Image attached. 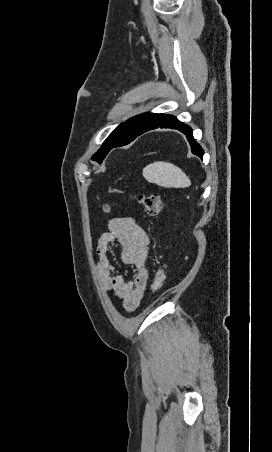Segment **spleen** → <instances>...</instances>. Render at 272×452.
I'll return each instance as SVG.
<instances>
[{
  "mask_svg": "<svg viewBox=\"0 0 272 452\" xmlns=\"http://www.w3.org/2000/svg\"><path fill=\"white\" fill-rule=\"evenodd\" d=\"M144 178L166 188H185L191 185L188 176L177 166L168 162H154L143 169Z\"/></svg>",
  "mask_w": 272,
  "mask_h": 452,
  "instance_id": "3e777b00",
  "label": "spleen"
}]
</instances>
